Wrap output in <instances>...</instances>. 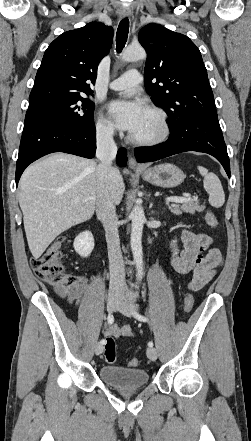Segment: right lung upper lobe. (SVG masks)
I'll return each instance as SVG.
<instances>
[{"mask_svg":"<svg viewBox=\"0 0 251 441\" xmlns=\"http://www.w3.org/2000/svg\"><path fill=\"white\" fill-rule=\"evenodd\" d=\"M112 40V27L96 22L61 34L45 51L29 101L93 94L98 64L108 54Z\"/></svg>","mask_w":251,"mask_h":441,"instance_id":"right-lung-upper-lobe-1","label":"right lung upper lobe"}]
</instances>
